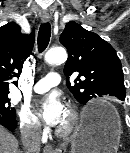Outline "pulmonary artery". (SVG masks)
Masks as SVG:
<instances>
[{
    "instance_id": "e3ab8cb5",
    "label": "pulmonary artery",
    "mask_w": 130,
    "mask_h": 153,
    "mask_svg": "<svg viewBox=\"0 0 130 153\" xmlns=\"http://www.w3.org/2000/svg\"><path fill=\"white\" fill-rule=\"evenodd\" d=\"M61 77L56 72L48 73L43 79L39 80L32 87V90L36 93H43L49 90L51 87L60 83Z\"/></svg>"
}]
</instances>
